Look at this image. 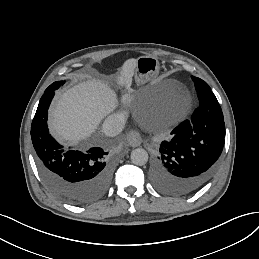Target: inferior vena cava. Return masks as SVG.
I'll use <instances>...</instances> for the list:
<instances>
[{"label":"inferior vena cava","mask_w":259,"mask_h":259,"mask_svg":"<svg viewBox=\"0 0 259 259\" xmlns=\"http://www.w3.org/2000/svg\"><path fill=\"white\" fill-rule=\"evenodd\" d=\"M125 117L122 114H110L103 122V132L107 136H116L123 130Z\"/></svg>","instance_id":"602c4592"}]
</instances>
